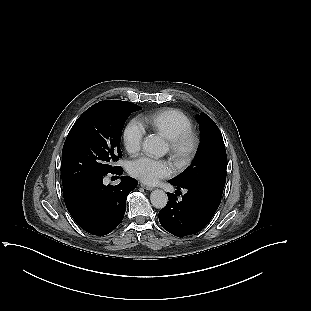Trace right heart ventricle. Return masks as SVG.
<instances>
[{
  "label": "right heart ventricle",
  "mask_w": 311,
  "mask_h": 311,
  "mask_svg": "<svg viewBox=\"0 0 311 311\" xmlns=\"http://www.w3.org/2000/svg\"><path fill=\"white\" fill-rule=\"evenodd\" d=\"M147 123L150 128L170 141L181 132L191 130L192 121L183 111L168 108L152 114Z\"/></svg>",
  "instance_id": "obj_1"
}]
</instances>
